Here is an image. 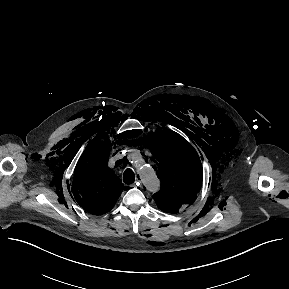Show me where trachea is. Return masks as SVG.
<instances>
[{
	"mask_svg": "<svg viewBox=\"0 0 289 289\" xmlns=\"http://www.w3.org/2000/svg\"><path fill=\"white\" fill-rule=\"evenodd\" d=\"M123 181L125 184H132L135 181V175L131 169L125 170L123 175Z\"/></svg>",
	"mask_w": 289,
	"mask_h": 289,
	"instance_id": "obj_1",
	"label": "trachea"
}]
</instances>
